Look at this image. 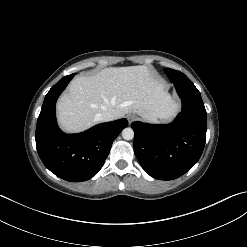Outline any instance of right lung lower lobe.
<instances>
[{"label":"right lung lower lobe","instance_id":"1","mask_svg":"<svg viewBox=\"0 0 247 247\" xmlns=\"http://www.w3.org/2000/svg\"><path fill=\"white\" fill-rule=\"evenodd\" d=\"M74 74L63 77L47 93L36 126V147L43 164L56 176L81 182L102 168L111 145L128 126L126 119L98 124L79 134H65L57 126L55 104Z\"/></svg>","mask_w":247,"mask_h":247}]
</instances>
